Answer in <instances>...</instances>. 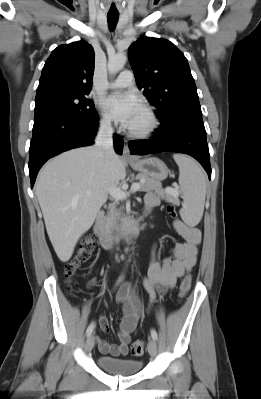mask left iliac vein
<instances>
[{"label": "left iliac vein", "instance_id": "obj_1", "mask_svg": "<svg viewBox=\"0 0 261 399\" xmlns=\"http://www.w3.org/2000/svg\"><path fill=\"white\" fill-rule=\"evenodd\" d=\"M148 352L152 357H155L157 354V344L155 342V340L151 339L148 342Z\"/></svg>", "mask_w": 261, "mask_h": 399}]
</instances>
